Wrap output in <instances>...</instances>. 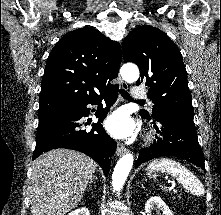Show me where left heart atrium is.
Listing matches in <instances>:
<instances>
[{
  "label": "left heart atrium",
  "instance_id": "39dd6f15",
  "mask_svg": "<svg viewBox=\"0 0 221 215\" xmlns=\"http://www.w3.org/2000/svg\"><path fill=\"white\" fill-rule=\"evenodd\" d=\"M107 131L116 138H126L134 131V124L126 111L119 109L105 121Z\"/></svg>",
  "mask_w": 221,
  "mask_h": 215
}]
</instances>
